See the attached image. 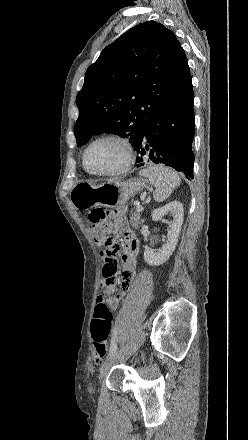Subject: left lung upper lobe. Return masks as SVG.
Instances as JSON below:
<instances>
[{
	"mask_svg": "<svg viewBox=\"0 0 248 440\" xmlns=\"http://www.w3.org/2000/svg\"><path fill=\"white\" fill-rule=\"evenodd\" d=\"M190 82L185 52L172 31L154 21L131 28L87 69L76 98L78 146L107 132L130 138L135 147L151 118Z\"/></svg>",
	"mask_w": 248,
	"mask_h": 440,
	"instance_id": "obj_1",
	"label": "left lung upper lobe"
}]
</instances>
